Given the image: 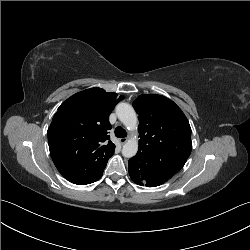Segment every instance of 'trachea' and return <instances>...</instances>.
I'll list each match as a JSON object with an SVG mask.
<instances>
[{"label": "trachea", "instance_id": "trachea-1", "mask_svg": "<svg viewBox=\"0 0 250 250\" xmlns=\"http://www.w3.org/2000/svg\"><path fill=\"white\" fill-rule=\"evenodd\" d=\"M115 135L118 138H123L127 136V132L122 127L118 126L115 129Z\"/></svg>", "mask_w": 250, "mask_h": 250}]
</instances>
